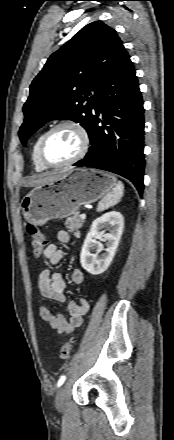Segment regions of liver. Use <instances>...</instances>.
<instances>
[{"mask_svg":"<svg viewBox=\"0 0 174 440\" xmlns=\"http://www.w3.org/2000/svg\"><path fill=\"white\" fill-rule=\"evenodd\" d=\"M60 174L61 173L41 176L38 179L30 181L28 183V186H38V185H42V184L48 183V182L56 179Z\"/></svg>","mask_w":174,"mask_h":440,"instance_id":"1","label":"liver"}]
</instances>
